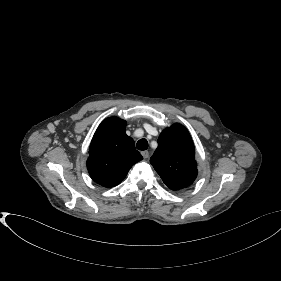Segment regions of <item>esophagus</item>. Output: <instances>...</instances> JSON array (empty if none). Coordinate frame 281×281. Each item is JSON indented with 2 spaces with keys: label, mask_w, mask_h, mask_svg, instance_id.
<instances>
[{
  "label": "esophagus",
  "mask_w": 281,
  "mask_h": 281,
  "mask_svg": "<svg viewBox=\"0 0 281 281\" xmlns=\"http://www.w3.org/2000/svg\"><path fill=\"white\" fill-rule=\"evenodd\" d=\"M141 154H142L144 159H147L149 157V152L148 151H142Z\"/></svg>",
  "instance_id": "1"
}]
</instances>
